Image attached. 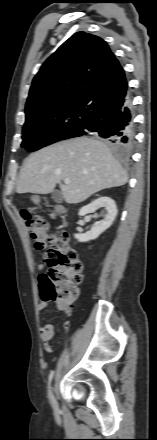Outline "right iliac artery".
Segmentation results:
<instances>
[{
	"label": "right iliac artery",
	"mask_w": 157,
	"mask_h": 440,
	"mask_svg": "<svg viewBox=\"0 0 157 440\" xmlns=\"http://www.w3.org/2000/svg\"><path fill=\"white\" fill-rule=\"evenodd\" d=\"M53 375H54V372L52 371L50 373V375H49V382H48V398H49L50 402L52 401L51 382H52V379H53Z\"/></svg>",
	"instance_id": "obj_1"
}]
</instances>
